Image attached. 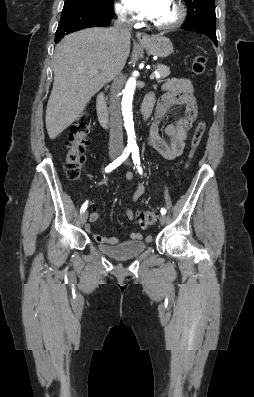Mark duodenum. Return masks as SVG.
<instances>
[{
  "label": "duodenum",
  "mask_w": 254,
  "mask_h": 397,
  "mask_svg": "<svg viewBox=\"0 0 254 397\" xmlns=\"http://www.w3.org/2000/svg\"><path fill=\"white\" fill-rule=\"evenodd\" d=\"M153 104H154V98L150 93L146 95L141 106V116L144 120H147L149 118L153 108ZM96 109L100 124L103 127H107L109 123V112H108L105 95L102 92L99 93L97 96Z\"/></svg>",
  "instance_id": "duodenum-1"
}]
</instances>
